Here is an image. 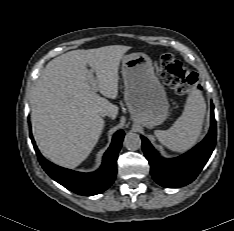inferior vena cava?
Returning <instances> with one entry per match:
<instances>
[{
  "mask_svg": "<svg viewBox=\"0 0 234 231\" xmlns=\"http://www.w3.org/2000/svg\"><path fill=\"white\" fill-rule=\"evenodd\" d=\"M107 115V113H101V116L102 117H104V116H106Z\"/></svg>",
  "mask_w": 234,
  "mask_h": 231,
  "instance_id": "1",
  "label": "inferior vena cava"
}]
</instances>
